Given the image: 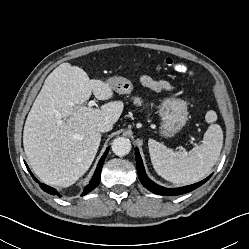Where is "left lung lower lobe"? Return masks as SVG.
I'll return each instance as SVG.
<instances>
[{"label":"left lung lower lobe","instance_id":"1","mask_svg":"<svg viewBox=\"0 0 249 249\" xmlns=\"http://www.w3.org/2000/svg\"><path fill=\"white\" fill-rule=\"evenodd\" d=\"M135 157H136L137 173H138L139 180L141 181V183L143 184V186L145 188H147L148 190H150L151 192H153L155 194H159V195H163V196L181 195V194H184V193H187V192H190V191L196 189L197 187L204 184L211 177V175H210L209 177H207L203 181H200V182L195 183L193 185H189V186H185V187H181V188H175V189H167V188H164V187H161V186L155 184L152 180H150L147 177L141 156H140L139 151H138V148L135 149Z\"/></svg>","mask_w":249,"mask_h":249}]
</instances>
